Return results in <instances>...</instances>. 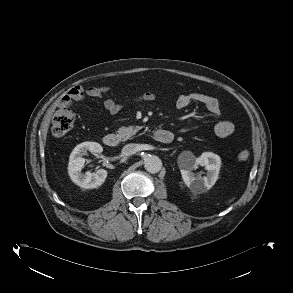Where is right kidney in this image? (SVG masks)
Segmentation results:
<instances>
[{
  "label": "right kidney",
  "instance_id": "ca27d5eb",
  "mask_svg": "<svg viewBox=\"0 0 293 293\" xmlns=\"http://www.w3.org/2000/svg\"><path fill=\"white\" fill-rule=\"evenodd\" d=\"M87 151L101 153L103 148L96 142H83L77 145L69 158L68 173L76 185L84 189H93L101 186L105 182L107 171L105 169H99L96 173L86 172L83 174L81 172L85 163L83 155H86Z\"/></svg>",
  "mask_w": 293,
  "mask_h": 293
}]
</instances>
